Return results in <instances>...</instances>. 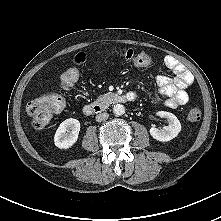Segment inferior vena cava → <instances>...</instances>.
<instances>
[{
  "mask_svg": "<svg viewBox=\"0 0 221 221\" xmlns=\"http://www.w3.org/2000/svg\"><path fill=\"white\" fill-rule=\"evenodd\" d=\"M108 117H109L108 113L103 112V113L96 115L95 119L97 122H103V121L107 120Z\"/></svg>",
  "mask_w": 221,
  "mask_h": 221,
  "instance_id": "obj_1",
  "label": "inferior vena cava"
}]
</instances>
